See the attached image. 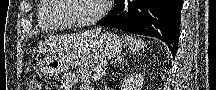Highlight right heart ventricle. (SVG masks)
Here are the masks:
<instances>
[{
  "label": "right heart ventricle",
  "instance_id": "right-heart-ventricle-1",
  "mask_svg": "<svg viewBox=\"0 0 216 90\" xmlns=\"http://www.w3.org/2000/svg\"><path fill=\"white\" fill-rule=\"evenodd\" d=\"M40 6H36V10H41V14L38 15L37 23L40 29H61V23H56L45 16H56V14H51V10L54 7H58L56 2L53 0H39ZM42 14H45L43 16Z\"/></svg>",
  "mask_w": 216,
  "mask_h": 90
}]
</instances>
